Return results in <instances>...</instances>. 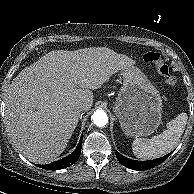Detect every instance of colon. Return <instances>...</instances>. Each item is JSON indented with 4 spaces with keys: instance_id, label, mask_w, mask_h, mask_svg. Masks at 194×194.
<instances>
[{
    "instance_id": "obj_1",
    "label": "colon",
    "mask_w": 194,
    "mask_h": 194,
    "mask_svg": "<svg viewBox=\"0 0 194 194\" xmlns=\"http://www.w3.org/2000/svg\"><path fill=\"white\" fill-rule=\"evenodd\" d=\"M143 60L152 64L156 67L159 76L164 80V82L169 86H174L176 84L175 77L171 74L169 67L163 62L161 55L154 51H149L144 54Z\"/></svg>"
}]
</instances>
